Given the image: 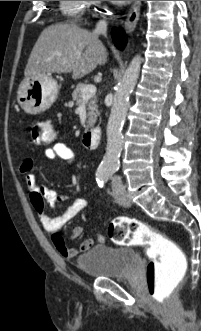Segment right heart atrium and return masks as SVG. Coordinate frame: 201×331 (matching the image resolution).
<instances>
[{"mask_svg": "<svg viewBox=\"0 0 201 331\" xmlns=\"http://www.w3.org/2000/svg\"><path fill=\"white\" fill-rule=\"evenodd\" d=\"M87 7L92 11V14L94 16H99L101 14V11L99 10L98 6L100 4V1H83Z\"/></svg>", "mask_w": 201, "mask_h": 331, "instance_id": "d8ad5b80", "label": "right heart atrium"}]
</instances>
